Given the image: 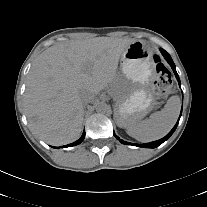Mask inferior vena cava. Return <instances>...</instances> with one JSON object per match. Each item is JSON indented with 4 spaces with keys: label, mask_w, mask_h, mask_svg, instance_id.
<instances>
[{
    "label": "inferior vena cava",
    "mask_w": 207,
    "mask_h": 207,
    "mask_svg": "<svg viewBox=\"0 0 207 207\" xmlns=\"http://www.w3.org/2000/svg\"><path fill=\"white\" fill-rule=\"evenodd\" d=\"M80 97L83 103H90L94 100L95 95L94 93L85 90L81 92Z\"/></svg>",
    "instance_id": "inferior-vena-cava-1"
}]
</instances>
